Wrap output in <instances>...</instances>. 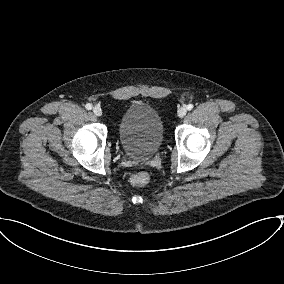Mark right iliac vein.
<instances>
[{
    "label": "right iliac vein",
    "mask_w": 284,
    "mask_h": 284,
    "mask_svg": "<svg viewBox=\"0 0 284 284\" xmlns=\"http://www.w3.org/2000/svg\"><path fill=\"white\" fill-rule=\"evenodd\" d=\"M93 113L96 115V116H101L102 115V109L99 107V106H95L93 108Z\"/></svg>",
    "instance_id": "63e3f726"
}]
</instances>
